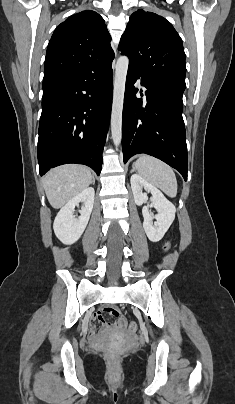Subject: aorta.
<instances>
[{"label":"aorta","instance_id":"obj_1","mask_svg":"<svg viewBox=\"0 0 235 404\" xmlns=\"http://www.w3.org/2000/svg\"><path fill=\"white\" fill-rule=\"evenodd\" d=\"M128 65V57L121 56L118 58L116 63L111 115V133L116 147L121 143L122 138V112Z\"/></svg>","mask_w":235,"mask_h":404}]
</instances>
